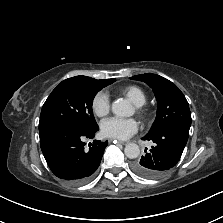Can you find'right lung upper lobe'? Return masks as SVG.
Segmentation results:
<instances>
[{"label":"right lung upper lobe","mask_w":223,"mask_h":223,"mask_svg":"<svg viewBox=\"0 0 223 223\" xmlns=\"http://www.w3.org/2000/svg\"><path fill=\"white\" fill-rule=\"evenodd\" d=\"M73 78H90V77H87V76H76V77H73Z\"/></svg>","instance_id":"obj_1"}]
</instances>
